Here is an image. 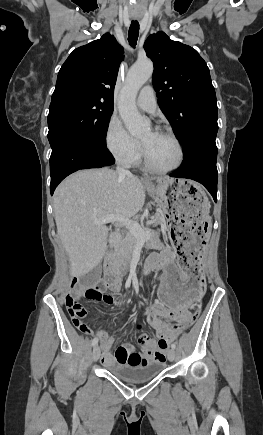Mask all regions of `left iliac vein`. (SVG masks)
<instances>
[{
    "mask_svg": "<svg viewBox=\"0 0 263 435\" xmlns=\"http://www.w3.org/2000/svg\"><path fill=\"white\" fill-rule=\"evenodd\" d=\"M167 357H168L169 361H174L175 358H176V352H175V350L174 349H170L168 351Z\"/></svg>",
    "mask_w": 263,
    "mask_h": 435,
    "instance_id": "1",
    "label": "left iliac vein"
}]
</instances>
